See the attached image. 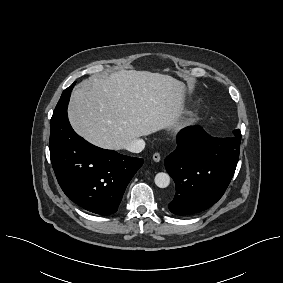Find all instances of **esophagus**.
Returning <instances> with one entry per match:
<instances>
[{
    "label": "esophagus",
    "mask_w": 283,
    "mask_h": 283,
    "mask_svg": "<svg viewBox=\"0 0 283 283\" xmlns=\"http://www.w3.org/2000/svg\"><path fill=\"white\" fill-rule=\"evenodd\" d=\"M152 158L155 162H159L161 160V156L159 153H154Z\"/></svg>",
    "instance_id": "esophagus-1"
}]
</instances>
